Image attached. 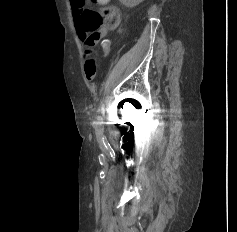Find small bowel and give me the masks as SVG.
I'll use <instances>...</instances> for the list:
<instances>
[{
	"label": "small bowel",
	"mask_w": 237,
	"mask_h": 232,
	"mask_svg": "<svg viewBox=\"0 0 237 232\" xmlns=\"http://www.w3.org/2000/svg\"><path fill=\"white\" fill-rule=\"evenodd\" d=\"M100 1H107V0H100ZM109 1V0H108ZM98 4H105V2H97ZM113 10V15L106 18L104 20V23L102 25L101 29V35H104L107 31L113 30L117 27L119 21H120V13L119 10L116 7L111 8ZM104 12V9L100 11L102 14ZM82 41L85 42L84 47V72L85 76L88 80H91L96 72V63L95 60L92 57L93 54V45L89 44L87 41L81 38ZM103 52L104 55H107L109 53V45L107 43H104L103 45Z\"/></svg>",
	"instance_id": "1"
}]
</instances>
